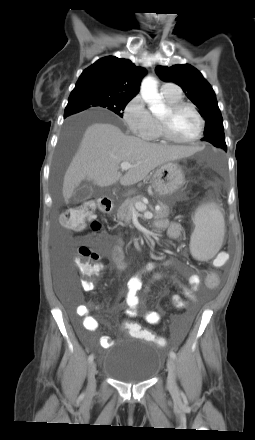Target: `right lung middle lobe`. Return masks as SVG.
Returning a JSON list of instances; mask_svg holds the SVG:
<instances>
[{"mask_svg":"<svg viewBox=\"0 0 255 440\" xmlns=\"http://www.w3.org/2000/svg\"><path fill=\"white\" fill-rule=\"evenodd\" d=\"M130 100V98L114 96L103 92H72L65 108L64 117L90 107L106 108L115 112L120 117H123V110Z\"/></svg>","mask_w":255,"mask_h":440,"instance_id":"obj_1","label":"right lung middle lobe"}]
</instances>
